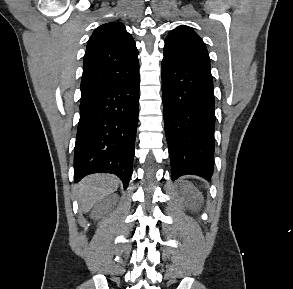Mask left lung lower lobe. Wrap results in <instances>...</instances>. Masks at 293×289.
<instances>
[{
  "label": "left lung lower lobe",
  "instance_id": "left-lung-lower-lobe-1",
  "mask_svg": "<svg viewBox=\"0 0 293 289\" xmlns=\"http://www.w3.org/2000/svg\"><path fill=\"white\" fill-rule=\"evenodd\" d=\"M164 125L172 180H210L214 168L215 100L210 68L162 60Z\"/></svg>",
  "mask_w": 293,
  "mask_h": 289
}]
</instances>
